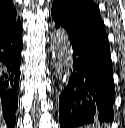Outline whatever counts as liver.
<instances>
[{
  "label": "liver",
  "mask_w": 125,
  "mask_h": 128,
  "mask_svg": "<svg viewBox=\"0 0 125 128\" xmlns=\"http://www.w3.org/2000/svg\"><path fill=\"white\" fill-rule=\"evenodd\" d=\"M0 128H5V124L3 123V119L0 116Z\"/></svg>",
  "instance_id": "obj_1"
}]
</instances>
